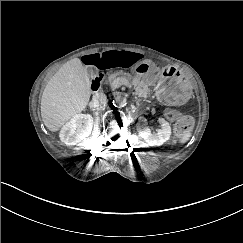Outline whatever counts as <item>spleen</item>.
I'll return each instance as SVG.
<instances>
[{
  "mask_svg": "<svg viewBox=\"0 0 243 243\" xmlns=\"http://www.w3.org/2000/svg\"><path fill=\"white\" fill-rule=\"evenodd\" d=\"M192 135H193L192 130H191V129H186V130L180 135V137H179V139H178V144L183 145V144L187 143V142L190 140V138L192 137Z\"/></svg>",
  "mask_w": 243,
  "mask_h": 243,
  "instance_id": "3e777b00",
  "label": "spleen"
}]
</instances>
